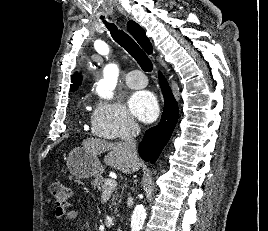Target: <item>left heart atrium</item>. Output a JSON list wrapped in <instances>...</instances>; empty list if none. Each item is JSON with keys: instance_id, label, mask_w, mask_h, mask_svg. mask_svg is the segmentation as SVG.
Instances as JSON below:
<instances>
[{"instance_id": "left-heart-atrium-1", "label": "left heart atrium", "mask_w": 268, "mask_h": 231, "mask_svg": "<svg viewBox=\"0 0 268 231\" xmlns=\"http://www.w3.org/2000/svg\"><path fill=\"white\" fill-rule=\"evenodd\" d=\"M131 113L145 123L155 121L159 116V105L156 97L149 91H138L128 99Z\"/></svg>"}]
</instances>
